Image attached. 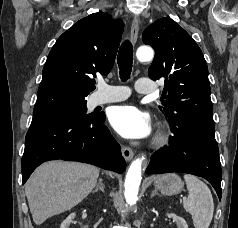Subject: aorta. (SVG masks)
I'll list each match as a JSON object with an SVG mask.
<instances>
[{
	"instance_id": "1",
	"label": "aorta",
	"mask_w": 238,
	"mask_h": 228,
	"mask_svg": "<svg viewBox=\"0 0 238 228\" xmlns=\"http://www.w3.org/2000/svg\"><path fill=\"white\" fill-rule=\"evenodd\" d=\"M137 59L141 62L150 61L154 57V51L151 47L142 46L137 49ZM145 157H137L130 165L125 178V200L127 204L134 205L138 199L139 186L142 179V163Z\"/></svg>"
}]
</instances>
